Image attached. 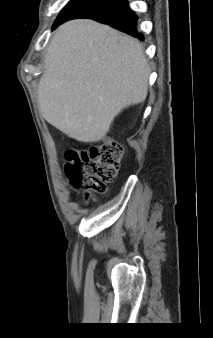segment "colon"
Segmentation results:
<instances>
[{
	"instance_id": "1",
	"label": "colon",
	"mask_w": 213,
	"mask_h": 338,
	"mask_svg": "<svg viewBox=\"0 0 213 338\" xmlns=\"http://www.w3.org/2000/svg\"><path fill=\"white\" fill-rule=\"evenodd\" d=\"M65 156L64 175L71 189L102 195L118 175L123 149L117 142L106 139L86 149H70Z\"/></svg>"
}]
</instances>
